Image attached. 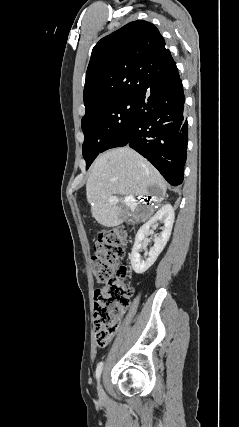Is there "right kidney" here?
I'll return each instance as SVG.
<instances>
[{"label":"right kidney","mask_w":239,"mask_h":427,"mask_svg":"<svg viewBox=\"0 0 239 427\" xmlns=\"http://www.w3.org/2000/svg\"><path fill=\"white\" fill-rule=\"evenodd\" d=\"M174 218V209L170 204H166L138 230L130 256L132 268L137 274H142L147 271L163 251L170 238ZM156 222L164 224L161 235L155 238L154 246L147 253V256L142 258L140 251L147 245L148 239L146 237L151 234L150 227Z\"/></svg>","instance_id":"ca27d5eb"}]
</instances>
